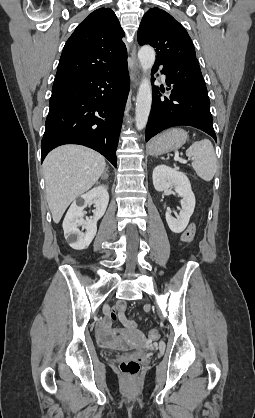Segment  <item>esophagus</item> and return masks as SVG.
<instances>
[{
  "label": "esophagus",
  "instance_id": "34e87169",
  "mask_svg": "<svg viewBox=\"0 0 255 418\" xmlns=\"http://www.w3.org/2000/svg\"><path fill=\"white\" fill-rule=\"evenodd\" d=\"M132 59H133V62H134V65H135V72H137V60H136V47L135 46H133V49H132Z\"/></svg>",
  "mask_w": 255,
  "mask_h": 418
}]
</instances>
